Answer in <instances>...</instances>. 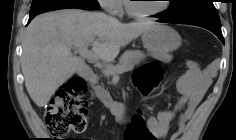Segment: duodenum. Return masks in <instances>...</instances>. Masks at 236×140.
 <instances>
[{"label":"duodenum","mask_w":236,"mask_h":140,"mask_svg":"<svg viewBox=\"0 0 236 140\" xmlns=\"http://www.w3.org/2000/svg\"><path fill=\"white\" fill-rule=\"evenodd\" d=\"M81 74L88 80H92L94 78V74L92 70L85 64L80 67ZM98 96L102 104L112 110L114 116L117 118L118 121H122L127 117V110L126 108L119 103L114 102L102 88H97Z\"/></svg>","instance_id":"410a0bca"}]
</instances>
